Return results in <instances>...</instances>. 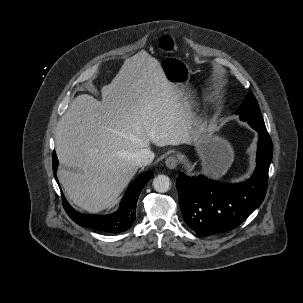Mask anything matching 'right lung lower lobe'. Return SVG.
<instances>
[{"label":"right lung lower lobe","mask_w":303,"mask_h":303,"mask_svg":"<svg viewBox=\"0 0 303 303\" xmlns=\"http://www.w3.org/2000/svg\"><path fill=\"white\" fill-rule=\"evenodd\" d=\"M58 159L56 153H53V172L58 183L56 171L58 167ZM153 171L140 174L128 187L120 209L110 215H84L75 211L69 203L63 198V207L69 217L78 225L88 227L97 231L106 233H120L128 230L133 221L136 219L137 200L141 190L147 182L153 177ZM59 185V183H58Z\"/></svg>","instance_id":"right-lung-lower-lobe-1"}]
</instances>
